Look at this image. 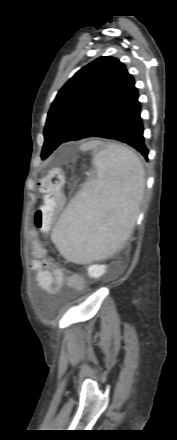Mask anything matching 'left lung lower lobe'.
<instances>
[{"mask_svg":"<svg viewBox=\"0 0 177 440\" xmlns=\"http://www.w3.org/2000/svg\"><path fill=\"white\" fill-rule=\"evenodd\" d=\"M140 112L141 106L136 91L125 105L83 138L102 137L124 142L139 151L148 161L149 151L144 142Z\"/></svg>","mask_w":177,"mask_h":440,"instance_id":"1","label":"left lung lower lobe"}]
</instances>
